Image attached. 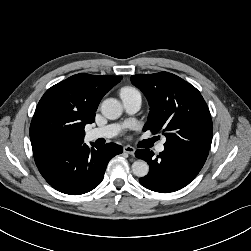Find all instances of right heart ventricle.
<instances>
[{
	"mask_svg": "<svg viewBox=\"0 0 251 251\" xmlns=\"http://www.w3.org/2000/svg\"><path fill=\"white\" fill-rule=\"evenodd\" d=\"M134 93H139V92L135 88H133V87H124L121 90V95L134 94Z\"/></svg>",
	"mask_w": 251,
	"mask_h": 251,
	"instance_id": "right-heart-ventricle-1",
	"label": "right heart ventricle"
}]
</instances>
